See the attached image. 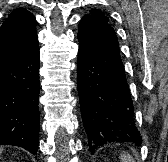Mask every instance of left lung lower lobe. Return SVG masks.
Wrapping results in <instances>:
<instances>
[{
    "label": "left lung lower lobe",
    "mask_w": 168,
    "mask_h": 162,
    "mask_svg": "<svg viewBox=\"0 0 168 162\" xmlns=\"http://www.w3.org/2000/svg\"><path fill=\"white\" fill-rule=\"evenodd\" d=\"M78 91L89 148L110 142L142 143L134 122V105L110 23L83 16L78 27Z\"/></svg>",
    "instance_id": "left-lung-lower-lobe-1"
}]
</instances>
